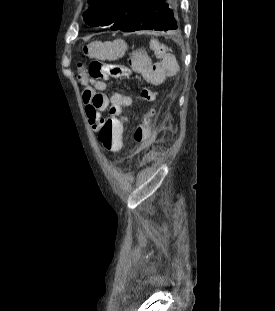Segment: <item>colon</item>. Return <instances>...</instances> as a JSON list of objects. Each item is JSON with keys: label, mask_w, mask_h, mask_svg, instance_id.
<instances>
[{"label": "colon", "mask_w": 275, "mask_h": 311, "mask_svg": "<svg viewBox=\"0 0 275 311\" xmlns=\"http://www.w3.org/2000/svg\"><path fill=\"white\" fill-rule=\"evenodd\" d=\"M103 46L102 42H92L83 46V53L92 58L87 68L89 75L95 79L123 76L125 72L122 66L107 63L101 59L104 54ZM140 96L143 100L149 102L155 98L154 92L148 89H142ZM126 125L127 118H103V123L99 127L97 134L98 141L105 150L114 153L122 148L123 138L119 130H125Z\"/></svg>", "instance_id": "1"}]
</instances>
